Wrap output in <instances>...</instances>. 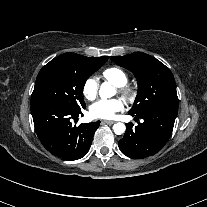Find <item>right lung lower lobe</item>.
Masks as SVG:
<instances>
[{
  "label": "right lung lower lobe",
  "instance_id": "obj_1",
  "mask_svg": "<svg viewBox=\"0 0 207 207\" xmlns=\"http://www.w3.org/2000/svg\"><path fill=\"white\" fill-rule=\"evenodd\" d=\"M85 109V108H84ZM36 134L43 146L53 155L65 160L82 158L89 150L100 122L72 126L80 110H71L57 103L31 106Z\"/></svg>",
  "mask_w": 207,
  "mask_h": 207
}]
</instances>
